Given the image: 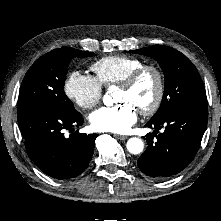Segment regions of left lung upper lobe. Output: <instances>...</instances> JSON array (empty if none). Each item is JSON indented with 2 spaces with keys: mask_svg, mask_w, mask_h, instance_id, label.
<instances>
[{
  "mask_svg": "<svg viewBox=\"0 0 221 221\" xmlns=\"http://www.w3.org/2000/svg\"><path fill=\"white\" fill-rule=\"evenodd\" d=\"M132 53L153 57L165 74L162 103L150 121L164 118L185 105L207 102L206 92L196 67L181 52L163 45H154Z\"/></svg>",
  "mask_w": 221,
  "mask_h": 221,
  "instance_id": "left-lung-upper-lobe-1",
  "label": "left lung upper lobe"
}]
</instances>
